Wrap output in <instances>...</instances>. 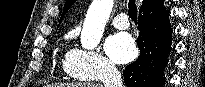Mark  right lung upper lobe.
Wrapping results in <instances>:
<instances>
[{
  "label": "right lung upper lobe",
  "mask_w": 205,
  "mask_h": 87,
  "mask_svg": "<svg viewBox=\"0 0 205 87\" xmlns=\"http://www.w3.org/2000/svg\"><path fill=\"white\" fill-rule=\"evenodd\" d=\"M75 1H76V0H66L65 6H64V10H63V14H62V16H61V18H60V22L62 21L64 14L68 11V9L70 8V6H71ZM154 1H155V0H143V4H142L140 10L143 9V8H145V7H147L148 5H150L151 3H153ZM60 22H59V23H60Z\"/></svg>",
  "instance_id": "obj_1"
}]
</instances>
